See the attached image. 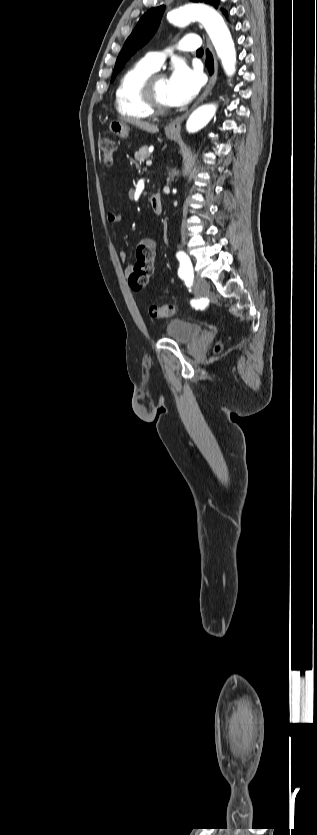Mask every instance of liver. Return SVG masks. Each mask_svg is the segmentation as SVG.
<instances>
[{
  "label": "liver",
  "instance_id": "obj_1",
  "mask_svg": "<svg viewBox=\"0 0 317 835\" xmlns=\"http://www.w3.org/2000/svg\"><path fill=\"white\" fill-rule=\"evenodd\" d=\"M130 123L135 125L140 130L146 131L148 133H157L159 131V128H158L157 125L150 124L149 122H146V121L131 120Z\"/></svg>",
  "mask_w": 317,
  "mask_h": 835
}]
</instances>
